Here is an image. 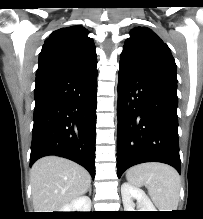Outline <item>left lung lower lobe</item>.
Returning <instances> with one entry per match:
<instances>
[{
	"label": "left lung lower lobe",
	"instance_id": "obj_1",
	"mask_svg": "<svg viewBox=\"0 0 203 219\" xmlns=\"http://www.w3.org/2000/svg\"><path fill=\"white\" fill-rule=\"evenodd\" d=\"M177 82L120 62L117 175L144 162H161L179 173Z\"/></svg>",
	"mask_w": 203,
	"mask_h": 219
}]
</instances>
